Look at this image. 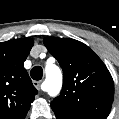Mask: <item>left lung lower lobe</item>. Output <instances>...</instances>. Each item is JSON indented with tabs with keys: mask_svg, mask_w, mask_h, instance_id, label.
Returning a JSON list of instances; mask_svg holds the SVG:
<instances>
[{
	"mask_svg": "<svg viewBox=\"0 0 119 119\" xmlns=\"http://www.w3.org/2000/svg\"><path fill=\"white\" fill-rule=\"evenodd\" d=\"M57 119H88L84 117H79L72 114H57L55 113Z\"/></svg>",
	"mask_w": 119,
	"mask_h": 119,
	"instance_id": "obj_1",
	"label": "left lung lower lobe"
}]
</instances>
